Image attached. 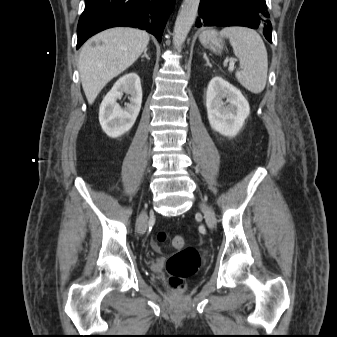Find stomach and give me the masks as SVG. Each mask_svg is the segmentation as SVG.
I'll return each instance as SVG.
<instances>
[{"instance_id":"stomach-1","label":"stomach","mask_w":337,"mask_h":337,"mask_svg":"<svg viewBox=\"0 0 337 337\" xmlns=\"http://www.w3.org/2000/svg\"><path fill=\"white\" fill-rule=\"evenodd\" d=\"M201 44L215 53H221L224 41L215 30L207 29L199 35Z\"/></svg>"}]
</instances>
